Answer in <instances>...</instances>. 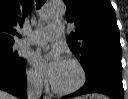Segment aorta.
<instances>
[{
    "label": "aorta",
    "mask_w": 128,
    "mask_h": 99,
    "mask_svg": "<svg viewBox=\"0 0 128 99\" xmlns=\"http://www.w3.org/2000/svg\"><path fill=\"white\" fill-rule=\"evenodd\" d=\"M66 6L62 0H52L42 13L43 20L59 19L65 15Z\"/></svg>",
    "instance_id": "762f6f07"
}]
</instances>
